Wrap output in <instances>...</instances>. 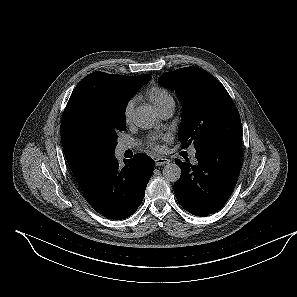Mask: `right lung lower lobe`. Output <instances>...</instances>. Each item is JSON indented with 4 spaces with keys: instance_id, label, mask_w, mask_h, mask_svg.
<instances>
[{
    "instance_id": "obj_1",
    "label": "right lung lower lobe",
    "mask_w": 297,
    "mask_h": 297,
    "mask_svg": "<svg viewBox=\"0 0 297 297\" xmlns=\"http://www.w3.org/2000/svg\"><path fill=\"white\" fill-rule=\"evenodd\" d=\"M119 165L115 156L97 170L83 188L91 206L113 220L131 216L142 203L154 170V161L143 153Z\"/></svg>"
}]
</instances>
